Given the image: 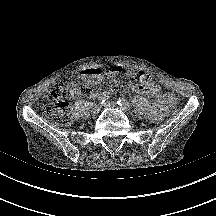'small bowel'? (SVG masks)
Masks as SVG:
<instances>
[{
    "label": "small bowel",
    "instance_id": "c3829d8e",
    "mask_svg": "<svg viewBox=\"0 0 216 216\" xmlns=\"http://www.w3.org/2000/svg\"><path fill=\"white\" fill-rule=\"evenodd\" d=\"M127 77L129 78L128 86L132 91L146 94L155 98L152 104L150 118L153 121L160 120L163 117L167 107L170 106L173 95L170 93H161L158 84L155 83L154 80L147 74L141 73L139 75V82H136L134 80L136 77V73L133 71H128ZM116 81H119V79H116ZM95 92V88H79L78 92L74 95V97L90 96L93 95Z\"/></svg>",
    "mask_w": 216,
    "mask_h": 216
}]
</instances>
